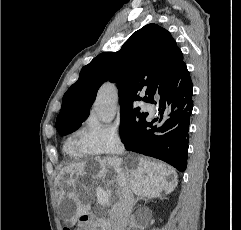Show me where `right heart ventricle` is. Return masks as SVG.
<instances>
[{
    "label": "right heart ventricle",
    "instance_id": "obj_1",
    "mask_svg": "<svg viewBox=\"0 0 241 230\" xmlns=\"http://www.w3.org/2000/svg\"><path fill=\"white\" fill-rule=\"evenodd\" d=\"M65 153L74 160L84 158L90 153L85 148L82 139H77L76 136L69 138L64 146Z\"/></svg>",
    "mask_w": 241,
    "mask_h": 230
}]
</instances>
